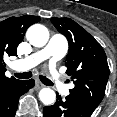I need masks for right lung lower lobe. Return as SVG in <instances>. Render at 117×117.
Segmentation results:
<instances>
[{
	"mask_svg": "<svg viewBox=\"0 0 117 117\" xmlns=\"http://www.w3.org/2000/svg\"><path fill=\"white\" fill-rule=\"evenodd\" d=\"M35 81L33 79L18 81L9 86L0 94V117H14L19 97L33 88Z\"/></svg>",
	"mask_w": 117,
	"mask_h": 117,
	"instance_id": "obj_1",
	"label": "right lung lower lobe"
}]
</instances>
